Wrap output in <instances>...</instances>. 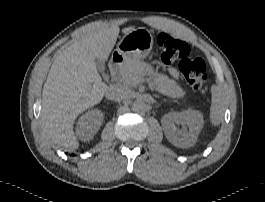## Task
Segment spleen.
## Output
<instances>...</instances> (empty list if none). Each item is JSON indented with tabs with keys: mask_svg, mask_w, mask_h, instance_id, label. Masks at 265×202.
<instances>
[{
	"mask_svg": "<svg viewBox=\"0 0 265 202\" xmlns=\"http://www.w3.org/2000/svg\"><path fill=\"white\" fill-rule=\"evenodd\" d=\"M212 104L210 109V122L214 126H218L224 114L222 96L220 94L219 88L217 86H212Z\"/></svg>",
	"mask_w": 265,
	"mask_h": 202,
	"instance_id": "3e777b00",
	"label": "spleen"
}]
</instances>
